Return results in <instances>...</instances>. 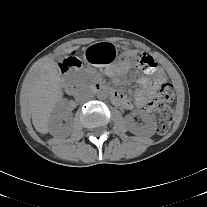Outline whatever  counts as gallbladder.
Instances as JSON below:
<instances>
[{
    "label": "gallbladder",
    "instance_id": "1",
    "mask_svg": "<svg viewBox=\"0 0 207 207\" xmlns=\"http://www.w3.org/2000/svg\"><path fill=\"white\" fill-rule=\"evenodd\" d=\"M62 59H63V56H58V57L56 58L57 61H61Z\"/></svg>",
    "mask_w": 207,
    "mask_h": 207
}]
</instances>
